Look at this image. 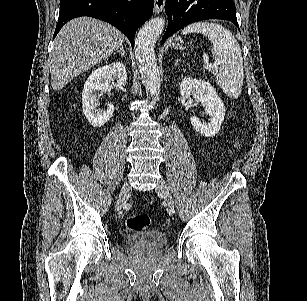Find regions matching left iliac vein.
<instances>
[{"mask_svg": "<svg viewBox=\"0 0 307 301\" xmlns=\"http://www.w3.org/2000/svg\"><path fill=\"white\" fill-rule=\"evenodd\" d=\"M156 192L158 194H161L165 202L167 203V206L171 209L174 210L175 204H174V199L170 193V190L167 186V184L161 180L160 183L158 184L156 188Z\"/></svg>", "mask_w": 307, "mask_h": 301, "instance_id": "obj_1", "label": "left iliac vein"}]
</instances>
